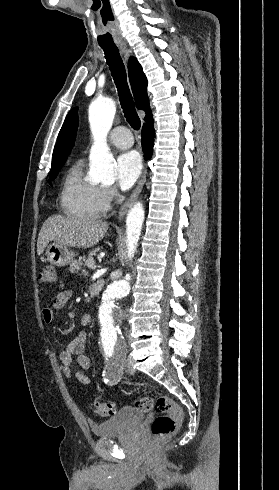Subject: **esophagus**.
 <instances>
[{
	"mask_svg": "<svg viewBox=\"0 0 279 490\" xmlns=\"http://www.w3.org/2000/svg\"><path fill=\"white\" fill-rule=\"evenodd\" d=\"M120 51H121L122 55L124 56L125 60H128V58L130 57V55L132 53L127 45H120ZM146 176H147V168H145L143 170V174H142L141 179L139 180L138 185L136 186L135 190L132 192L130 197L125 201L124 205L122 206V208L119 212V215H118L119 221H121V219L124 217L125 213L127 212L128 207L133 205L135 203V201L137 200V198L139 197V195L142 191V188L144 186V183L146 181Z\"/></svg>",
	"mask_w": 279,
	"mask_h": 490,
	"instance_id": "1",
	"label": "esophagus"
}]
</instances>
